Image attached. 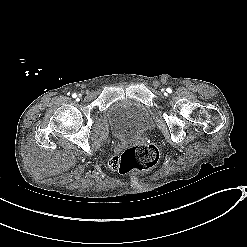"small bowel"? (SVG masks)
<instances>
[{
  "label": "small bowel",
  "mask_w": 247,
  "mask_h": 247,
  "mask_svg": "<svg viewBox=\"0 0 247 247\" xmlns=\"http://www.w3.org/2000/svg\"><path fill=\"white\" fill-rule=\"evenodd\" d=\"M119 161H120V158H119L118 155L113 154V155L110 156V158H109V163L110 164L108 166V169H109L110 172L115 173V172L118 171V169H119V166H118Z\"/></svg>",
  "instance_id": "obj_1"
}]
</instances>
